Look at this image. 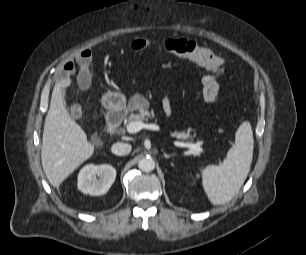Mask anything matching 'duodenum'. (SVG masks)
<instances>
[{"label":"duodenum","instance_id":"duodenum-1","mask_svg":"<svg viewBox=\"0 0 306 255\" xmlns=\"http://www.w3.org/2000/svg\"><path fill=\"white\" fill-rule=\"evenodd\" d=\"M125 116V107L112 108L107 113L108 130L115 134L120 127Z\"/></svg>","mask_w":306,"mask_h":255}]
</instances>
